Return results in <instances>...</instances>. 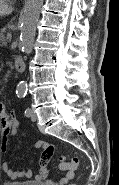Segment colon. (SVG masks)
<instances>
[{"instance_id": "obj_1", "label": "colon", "mask_w": 119, "mask_h": 185, "mask_svg": "<svg viewBox=\"0 0 119 185\" xmlns=\"http://www.w3.org/2000/svg\"><path fill=\"white\" fill-rule=\"evenodd\" d=\"M61 161L63 164H68V165H73V166H78L79 160L77 158H67L62 156ZM70 185H76L75 183H71Z\"/></svg>"}]
</instances>
